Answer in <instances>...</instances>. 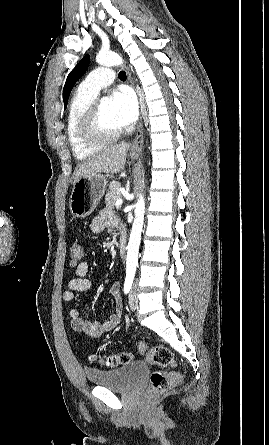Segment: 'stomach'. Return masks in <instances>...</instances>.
<instances>
[{
  "mask_svg": "<svg viewBox=\"0 0 269 445\" xmlns=\"http://www.w3.org/2000/svg\"><path fill=\"white\" fill-rule=\"evenodd\" d=\"M107 186V176L101 173L79 178L73 185L69 199L71 214L75 218L89 216L104 196Z\"/></svg>",
  "mask_w": 269,
  "mask_h": 445,
  "instance_id": "0dacf381",
  "label": "stomach"
}]
</instances>
